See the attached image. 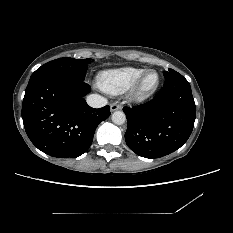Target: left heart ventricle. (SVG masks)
<instances>
[{"instance_id": "1", "label": "left heart ventricle", "mask_w": 233, "mask_h": 233, "mask_svg": "<svg viewBox=\"0 0 233 233\" xmlns=\"http://www.w3.org/2000/svg\"><path fill=\"white\" fill-rule=\"evenodd\" d=\"M156 80V75L154 73H151L147 76L145 80V85L146 86H151Z\"/></svg>"}]
</instances>
